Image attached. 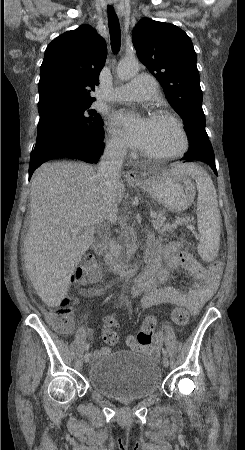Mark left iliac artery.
<instances>
[{
  "label": "left iliac artery",
  "instance_id": "44dca946",
  "mask_svg": "<svg viewBox=\"0 0 245 450\" xmlns=\"http://www.w3.org/2000/svg\"><path fill=\"white\" fill-rule=\"evenodd\" d=\"M162 353H163L164 356L167 355V351L164 348L162 349Z\"/></svg>",
  "mask_w": 245,
  "mask_h": 450
}]
</instances>
